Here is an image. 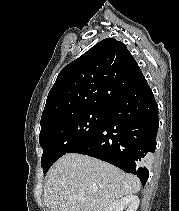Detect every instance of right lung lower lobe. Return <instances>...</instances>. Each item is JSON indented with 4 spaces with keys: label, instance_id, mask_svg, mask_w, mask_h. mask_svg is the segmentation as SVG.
Segmentation results:
<instances>
[{
    "label": "right lung lower lobe",
    "instance_id": "obj_1",
    "mask_svg": "<svg viewBox=\"0 0 179 211\" xmlns=\"http://www.w3.org/2000/svg\"><path fill=\"white\" fill-rule=\"evenodd\" d=\"M158 126V106L144 79L109 107L96 134L72 153L98 158L135 174L144 186L149 177L147 161L156 148Z\"/></svg>",
    "mask_w": 179,
    "mask_h": 211
}]
</instances>
